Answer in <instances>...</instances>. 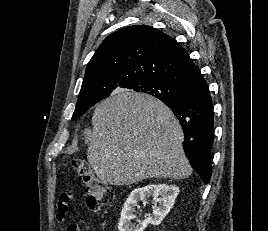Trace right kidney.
Listing matches in <instances>:
<instances>
[{
    "label": "right kidney",
    "instance_id": "right-kidney-1",
    "mask_svg": "<svg viewBox=\"0 0 268 231\" xmlns=\"http://www.w3.org/2000/svg\"><path fill=\"white\" fill-rule=\"evenodd\" d=\"M178 194L179 188L175 185L168 184H149L142 188L134 189L122 208L121 218L118 224L119 231H143L148 224L159 225L170 212ZM146 196L154 197L155 205L153 206V213L142 222L133 224L131 220L135 219L133 214L135 207ZM156 203H159V206Z\"/></svg>",
    "mask_w": 268,
    "mask_h": 231
}]
</instances>
